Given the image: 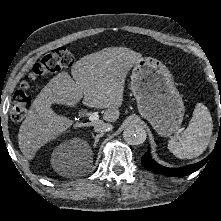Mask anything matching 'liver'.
I'll list each match as a JSON object with an SVG mask.
<instances>
[{
    "mask_svg": "<svg viewBox=\"0 0 221 221\" xmlns=\"http://www.w3.org/2000/svg\"><path fill=\"white\" fill-rule=\"evenodd\" d=\"M142 55L126 47H108L84 56L71 68L73 79L61 72L50 80L33 101L18 133L23 156L32 160L38 149L73 125L71 120L56 114L51 105L75 107L82 99L87 107L106 108L103 120L115 122L123 101L128 71ZM77 123L73 126L95 125Z\"/></svg>",
    "mask_w": 221,
    "mask_h": 221,
    "instance_id": "obj_1",
    "label": "liver"
}]
</instances>
